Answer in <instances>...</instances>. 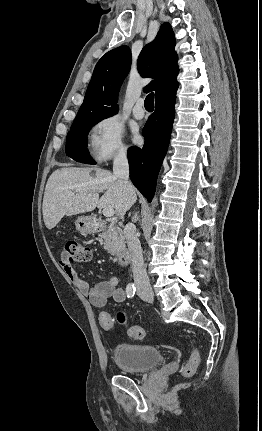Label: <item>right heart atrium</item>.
I'll list each match as a JSON object with an SVG mask.
<instances>
[{"label":"right heart atrium","mask_w":262,"mask_h":431,"mask_svg":"<svg viewBox=\"0 0 262 431\" xmlns=\"http://www.w3.org/2000/svg\"><path fill=\"white\" fill-rule=\"evenodd\" d=\"M89 145L92 157L99 162L126 155L124 127L119 118L107 115L98 120L91 129Z\"/></svg>","instance_id":"obj_1"}]
</instances>
